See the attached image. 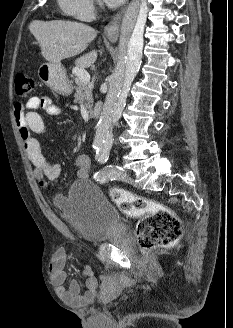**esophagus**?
Instances as JSON below:
<instances>
[{
    "mask_svg": "<svg viewBox=\"0 0 233 328\" xmlns=\"http://www.w3.org/2000/svg\"><path fill=\"white\" fill-rule=\"evenodd\" d=\"M124 12V8L115 14L109 23L104 27V35L111 41L117 40L120 32V22Z\"/></svg>",
    "mask_w": 233,
    "mask_h": 328,
    "instance_id": "34e87169",
    "label": "esophagus"
}]
</instances>
